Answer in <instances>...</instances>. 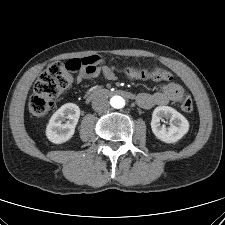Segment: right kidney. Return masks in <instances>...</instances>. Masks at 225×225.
I'll return each instance as SVG.
<instances>
[{
  "mask_svg": "<svg viewBox=\"0 0 225 225\" xmlns=\"http://www.w3.org/2000/svg\"><path fill=\"white\" fill-rule=\"evenodd\" d=\"M79 117L80 108L76 104L66 103L61 106L52 115L46 127V136L49 141L61 144L70 140L74 135Z\"/></svg>",
  "mask_w": 225,
  "mask_h": 225,
  "instance_id": "obj_1",
  "label": "right kidney"
}]
</instances>
